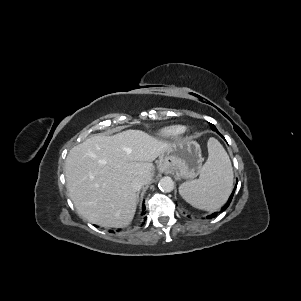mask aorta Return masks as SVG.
Wrapping results in <instances>:
<instances>
[{
    "mask_svg": "<svg viewBox=\"0 0 301 301\" xmlns=\"http://www.w3.org/2000/svg\"><path fill=\"white\" fill-rule=\"evenodd\" d=\"M158 187L163 192H171L174 189V181L170 177L160 179Z\"/></svg>",
    "mask_w": 301,
    "mask_h": 301,
    "instance_id": "aorta-1",
    "label": "aorta"
}]
</instances>
